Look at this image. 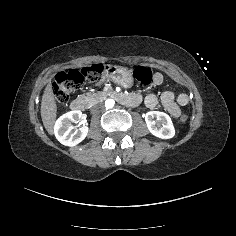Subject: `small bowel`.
<instances>
[{
    "mask_svg": "<svg viewBox=\"0 0 236 236\" xmlns=\"http://www.w3.org/2000/svg\"><path fill=\"white\" fill-rule=\"evenodd\" d=\"M163 82V77L161 74L157 73L153 77V84L158 86ZM140 98L139 95H136ZM162 104L164 108L174 117H178L180 115V106H184L188 103V97L185 94H180L176 99L171 92H166L162 96ZM158 103V99L154 94H148L145 97V104L149 108H154Z\"/></svg>",
    "mask_w": 236,
    "mask_h": 236,
    "instance_id": "obj_1",
    "label": "small bowel"
}]
</instances>
